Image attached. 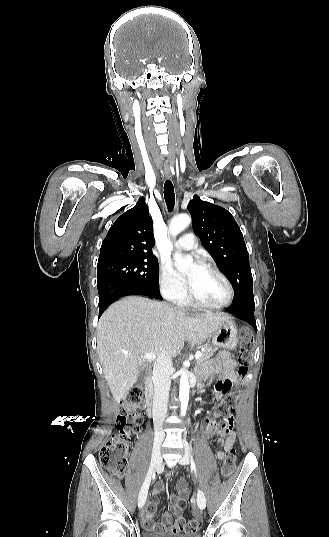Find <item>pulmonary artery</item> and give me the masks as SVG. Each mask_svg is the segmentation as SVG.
<instances>
[{
  "mask_svg": "<svg viewBox=\"0 0 329 537\" xmlns=\"http://www.w3.org/2000/svg\"><path fill=\"white\" fill-rule=\"evenodd\" d=\"M198 246L196 237L193 233L183 235L176 243L175 247L182 250H193Z\"/></svg>",
  "mask_w": 329,
  "mask_h": 537,
  "instance_id": "1",
  "label": "pulmonary artery"
}]
</instances>
